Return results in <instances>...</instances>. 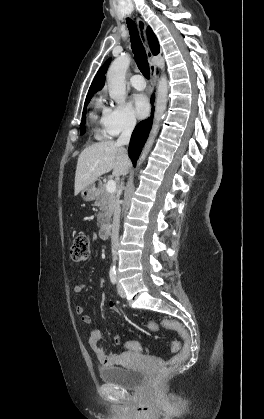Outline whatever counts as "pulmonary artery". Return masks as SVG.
I'll return each instance as SVG.
<instances>
[{
    "label": "pulmonary artery",
    "mask_w": 264,
    "mask_h": 419,
    "mask_svg": "<svg viewBox=\"0 0 264 419\" xmlns=\"http://www.w3.org/2000/svg\"><path fill=\"white\" fill-rule=\"evenodd\" d=\"M132 86L137 90H143L146 87L145 79L142 75L136 74L130 78Z\"/></svg>",
    "instance_id": "e3ab8cb5"
}]
</instances>
